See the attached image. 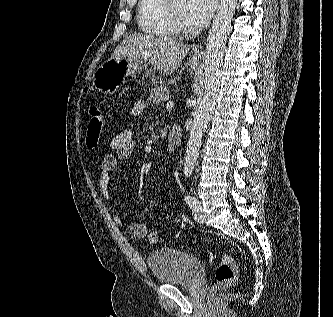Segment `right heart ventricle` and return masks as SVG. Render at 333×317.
I'll list each match as a JSON object with an SVG mask.
<instances>
[{"label": "right heart ventricle", "mask_w": 333, "mask_h": 317, "mask_svg": "<svg viewBox=\"0 0 333 317\" xmlns=\"http://www.w3.org/2000/svg\"><path fill=\"white\" fill-rule=\"evenodd\" d=\"M165 0H139L137 6V23L147 35L171 39L178 30L169 21L165 9Z\"/></svg>", "instance_id": "right-heart-ventricle-1"}]
</instances>
